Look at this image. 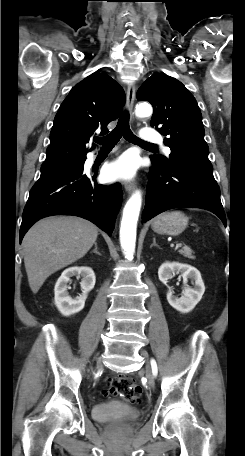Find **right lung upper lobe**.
I'll return each mask as SVG.
<instances>
[{
  "label": "right lung upper lobe",
  "instance_id": "obj_1",
  "mask_svg": "<svg viewBox=\"0 0 245 456\" xmlns=\"http://www.w3.org/2000/svg\"><path fill=\"white\" fill-rule=\"evenodd\" d=\"M124 102L122 87L106 74L93 73L75 85L55 116L41 169L86 159L85 144L97 128L108 132Z\"/></svg>",
  "mask_w": 245,
  "mask_h": 456
}]
</instances>
